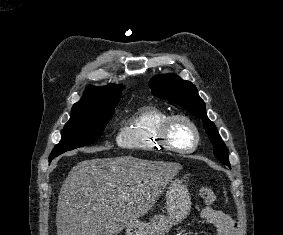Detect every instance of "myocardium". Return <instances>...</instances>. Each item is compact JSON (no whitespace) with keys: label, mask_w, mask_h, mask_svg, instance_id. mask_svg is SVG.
Listing matches in <instances>:
<instances>
[{"label":"myocardium","mask_w":283,"mask_h":235,"mask_svg":"<svg viewBox=\"0 0 283 235\" xmlns=\"http://www.w3.org/2000/svg\"><path fill=\"white\" fill-rule=\"evenodd\" d=\"M181 121L186 123L192 130L194 135V143L191 147L188 148H180L175 146L170 138V128L174 122ZM159 139L162 142V144L170 151L186 154L194 152L199 143H200V132L195 124V122L188 116L184 114H172L169 115L160 125L159 131H158Z\"/></svg>","instance_id":"obj_1"}]
</instances>
